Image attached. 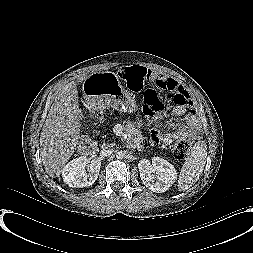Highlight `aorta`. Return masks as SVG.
<instances>
[{"instance_id":"aorta-1","label":"aorta","mask_w":253,"mask_h":253,"mask_svg":"<svg viewBox=\"0 0 253 253\" xmlns=\"http://www.w3.org/2000/svg\"><path fill=\"white\" fill-rule=\"evenodd\" d=\"M116 156L118 159H122L125 155L123 152H118Z\"/></svg>"}]
</instances>
